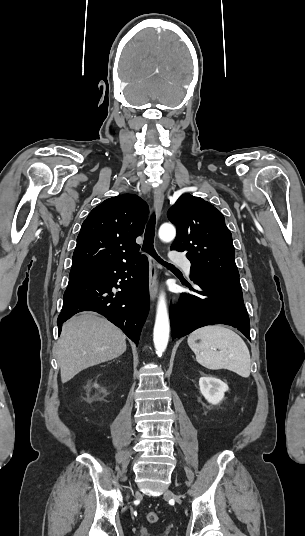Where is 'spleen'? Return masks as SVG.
I'll list each match as a JSON object with an SVG mask.
<instances>
[{"label":"spleen","mask_w":305,"mask_h":536,"mask_svg":"<svg viewBox=\"0 0 305 536\" xmlns=\"http://www.w3.org/2000/svg\"><path fill=\"white\" fill-rule=\"evenodd\" d=\"M197 340H200L199 344ZM187 342L198 364L204 368L230 370L242 378H249L251 370L249 350L242 338L232 330H228L226 326L199 328L190 334Z\"/></svg>","instance_id":"3e777b00"}]
</instances>
